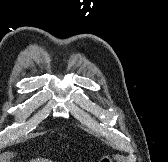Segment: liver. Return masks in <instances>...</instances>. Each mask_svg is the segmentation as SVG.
<instances>
[{"instance_id":"6515ba94","label":"liver","mask_w":168,"mask_h":162,"mask_svg":"<svg viewBox=\"0 0 168 162\" xmlns=\"http://www.w3.org/2000/svg\"><path fill=\"white\" fill-rule=\"evenodd\" d=\"M30 162H52V161L44 158H37V159H32Z\"/></svg>"}]
</instances>
